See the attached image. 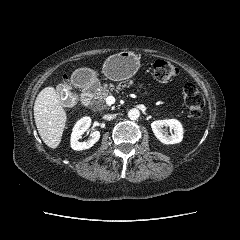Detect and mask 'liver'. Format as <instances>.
Wrapping results in <instances>:
<instances>
[{
  "label": "liver",
  "instance_id": "1",
  "mask_svg": "<svg viewBox=\"0 0 240 240\" xmlns=\"http://www.w3.org/2000/svg\"><path fill=\"white\" fill-rule=\"evenodd\" d=\"M34 119L43 142L50 148H57L61 142L67 115L53 87H46L37 95Z\"/></svg>",
  "mask_w": 240,
  "mask_h": 240
}]
</instances>
